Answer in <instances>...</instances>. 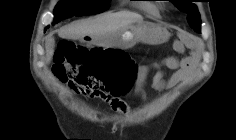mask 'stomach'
Returning <instances> with one entry per match:
<instances>
[{
	"mask_svg": "<svg viewBox=\"0 0 236 140\" xmlns=\"http://www.w3.org/2000/svg\"><path fill=\"white\" fill-rule=\"evenodd\" d=\"M169 37V32L160 24L141 21L123 31H108V36H95L94 41L107 47L128 49L137 42L161 44Z\"/></svg>",
	"mask_w": 236,
	"mask_h": 140,
	"instance_id": "1",
	"label": "stomach"
}]
</instances>
